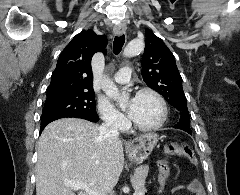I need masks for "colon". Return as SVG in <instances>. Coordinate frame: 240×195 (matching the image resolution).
<instances>
[{"label": "colon", "instance_id": "colon-1", "mask_svg": "<svg viewBox=\"0 0 240 195\" xmlns=\"http://www.w3.org/2000/svg\"><path fill=\"white\" fill-rule=\"evenodd\" d=\"M177 152H183L194 166L198 164L197 158L186 144L169 143L167 147H162V154L168 157V160H163L162 165H158V183L160 188L167 184V176L171 175L173 157L177 156ZM191 191L194 195H204L201 185L197 182L191 184Z\"/></svg>", "mask_w": 240, "mask_h": 195}]
</instances>
